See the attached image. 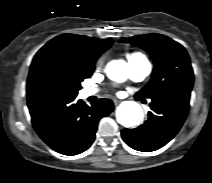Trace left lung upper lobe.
Instances as JSON below:
<instances>
[{
	"instance_id": "1",
	"label": "left lung upper lobe",
	"mask_w": 212,
	"mask_h": 183,
	"mask_svg": "<svg viewBox=\"0 0 212 183\" xmlns=\"http://www.w3.org/2000/svg\"><path fill=\"white\" fill-rule=\"evenodd\" d=\"M147 51L154 61L151 80L136 95L153 98L160 95H190L194 74L185 48L169 37L157 33L122 38L120 42Z\"/></svg>"
}]
</instances>
